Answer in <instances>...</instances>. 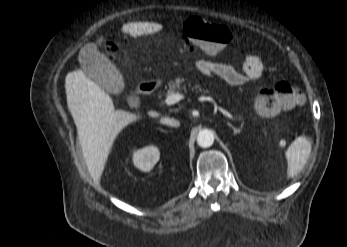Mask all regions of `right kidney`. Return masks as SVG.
Instances as JSON below:
<instances>
[{"instance_id": "1", "label": "right kidney", "mask_w": 347, "mask_h": 247, "mask_svg": "<svg viewBox=\"0 0 347 247\" xmlns=\"http://www.w3.org/2000/svg\"><path fill=\"white\" fill-rule=\"evenodd\" d=\"M160 153L157 147L147 146L136 150L133 154L132 161L134 166L143 172H149L159 161Z\"/></svg>"}]
</instances>
